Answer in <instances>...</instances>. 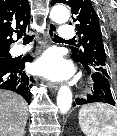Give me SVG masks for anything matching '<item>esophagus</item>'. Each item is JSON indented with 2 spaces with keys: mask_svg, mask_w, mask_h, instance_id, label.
<instances>
[{
  "mask_svg": "<svg viewBox=\"0 0 117 136\" xmlns=\"http://www.w3.org/2000/svg\"><path fill=\"white\" fill-rule=\"evenodd\" d=\"M57 31V26L54 23H49L48 25V29H47V36L49 38H52L54 36V34ZM47 87L49 88V90L51 92H55L58 89V84L52 81H49L47 83Z\"/></svg>",
  "mask_w": 117,
  "mask_h": 136,
  "instance_id": "34e87169",
  "label": "esophagus"
}]
</instances>
